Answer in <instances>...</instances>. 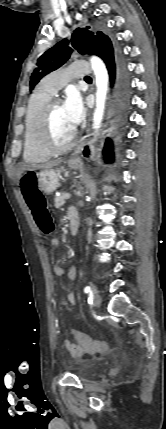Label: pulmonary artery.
Masks as SVG:
<instances>
[{
	"label": "pulmonary artery",
	"mask_w": 166,
	"mask_h": 429,
	"mask_svg": "<svg viewBox=\"0 0 166 429\" xmlns=\"http://www.w3.org/2000/svg\"><path fill=\"white\" fill-rule=\"evenodd\" d=\"M89 74H91V70L88 62H73L66 68L59 69L46 77L41 83V88L54 95L69 79L83 78Z\"/></svg>",
	"instance_id": "obj_1"
}]
</instances>
